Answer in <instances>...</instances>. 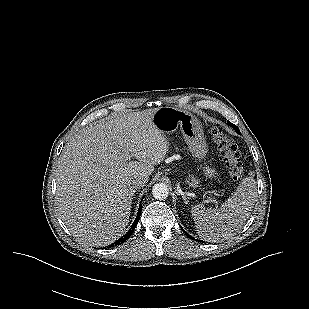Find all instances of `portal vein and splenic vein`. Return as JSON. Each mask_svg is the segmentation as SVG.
Returning a JSON list of instances; mask_svg holds the SVG:
<instances>
[{"label": "portal vein and splenic vein", "instance_id": "obj_1", "mask_svg": "<svg viewBox=\"0 0 309 309\" xmlns=\"http://www.w3.org/2000/svg\"><path fill=\"white\" fill-rule=\"evenodd\" d=\"M205 202L209 203V202H215L214 200H205ZM217 205V202H216Z\"/></svg>", "mask_w": 309, "mask_h": 309}]
</instances>
